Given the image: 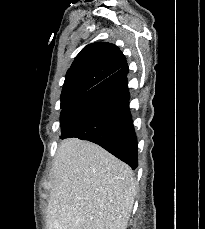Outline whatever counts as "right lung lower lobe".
<instances>
[{
	"label": "right lung lower lobe",
	"mask_w": 205,
	"mask_h": 229,
	"mask_svg": "<svg viewBox=\"0 0 205 229\" xmlns=\"http://www.w3.org/2000/svg\"><path fill=\"white\" fill-rule=\"evenodd\" d=\"M128 71L126 63L64 108L60 138L94 142L136 169L137 138L129 110Z\"/></svg>",
	"instance_id": "1"
}]
</instances>
